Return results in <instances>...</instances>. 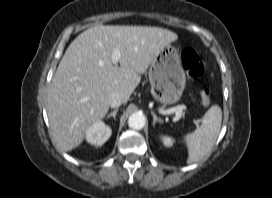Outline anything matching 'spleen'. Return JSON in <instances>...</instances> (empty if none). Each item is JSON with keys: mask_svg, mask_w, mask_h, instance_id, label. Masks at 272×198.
<instances>
[{"mask_svg": "<svg viewBox=\"0 0 272 198\" xmlns=\"http://www.w3.org/2000/svg\"><path fill=\"white\" fill-rule=\"evenodd\" d=\"M221 123L222 110L218 105H214L204 114L201 126L184 136L188 147V164L201 160L212 149L219 135Z\"/></svg>", "mask_w": 272, "mask_h": 198, "instance_id": "3e777b00", "label": "spleen"}]
</instances>
